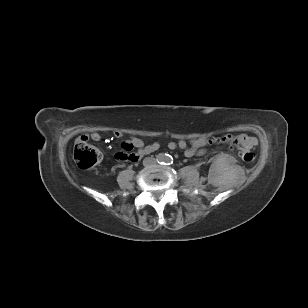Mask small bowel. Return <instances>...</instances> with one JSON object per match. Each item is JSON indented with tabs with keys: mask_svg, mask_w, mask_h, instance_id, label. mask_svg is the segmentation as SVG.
Segmentation results:
<instances>
[{
	"mask_svg": "<svg viewBox=\"0 0 308 308\" xmlns=\"http://www.w3.org/2000/svg\"><path fill=\"white\" fill-rule=\"evenodd\" d=\"M117 137L122 136V133L117 131L115 132ZM89 140L99 141L101 139V135L97 132L92 133L90 135H84ZM125 146H131L132 148H136L137 152L134 154V161L137 162L141 157L156 151L159 148V144L157 142L152 143L150 145L145 146L144 142L137 137H132L129 141L123 143ZM206 145V139L204 138H195L189 141L180 139L177 141H172L168 144L169 149L171 150H181L184 152L185 156L192 157L194 155H199L204 152L203 147Z\"/></svg>",
	"mask_w": 308,
	"mask_h": 308,
	"instance_id": "obj_1",
	"label": "small bowel"
}]
</instances>
